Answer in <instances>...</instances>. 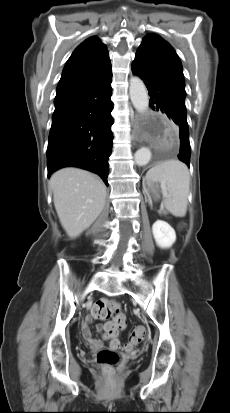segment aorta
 <instances>
[{
	"label": "aorta",
	"instance_id": "obj_1",
	"mask_svg": "<svg viewBox=\"0 0 230 413\" xmlns=\"http://www.w3.org/2000/svg\"><path fill=\"white\" fill-rule=\"evenodd\" d=\"M129 94L134 108L139 113H144L149 107V96L144 82L137 76H131ZM138 166L146 165L151 159V151L147 147H142L134 155Z\"/></svg>",
	"mask_w": 230,
	"mask_h": 413
}]
</instances>
